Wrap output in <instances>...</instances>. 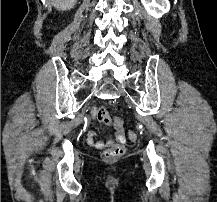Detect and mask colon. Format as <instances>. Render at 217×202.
Wrapping results in <instances>:
<instances>
[{"instance_id":"1","label":"colon","mask_w":217,"mask_h":202,"mask_svg":"<svg viewBox=\"0 0 217 202\" xmlns=\"http://www.w3.org/2000/svg\"><path fill=\"white\" fill-rule=\"evenodd\" d=\"M98 118L99 122L102 123V126H109L114 120L112 118H108L107 116V108L106 107H99L98 108ZM127 135L129 136V140H136V132L135 131H128ZM124 153L122 145H115L109 149H106L103 153V156L107 160L116 159L122 156Z\"/></svg>"}]
</instances>
